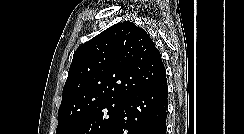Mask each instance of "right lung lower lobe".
Returning a JSON list of instances; mask_svg holds the SVG:
<instances>
[{"label":"right lung lower lobe","instance_id":"obj_1","mask_svg":"<svg viewBox=\"0 0 244 134\" xmlns=\"http://www.w3.org/2000/svg\"><path fill=\"white\" fill-rule=\"evenodd\" d=\"M166 76L128 97L104 134H166L168 104Z\"/></svg>","mask_w":244,"mask_h":134}]
</instances>
